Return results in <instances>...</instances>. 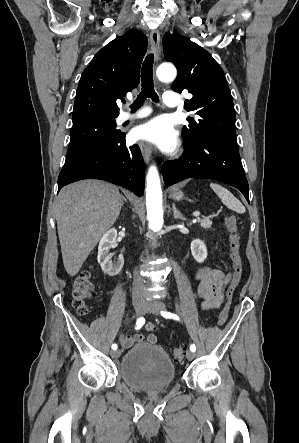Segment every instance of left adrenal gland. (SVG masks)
<instances>
[{"mask_svg":"<svg viewBox=\"0 0 299 443\" xmlns=\"http://www.w3.org/2000/svg\"><path fill=\"white\" fill-rule=\"evenodd\" d=\"M173 209V217L175 219L186 220L185 217L180 213V211L176 208L175 204L172 205Z\"/></svg>","mask_w":299,"mask_h":443,"instance_id":"obj_1","label":"left adrenal gland"}]
</instances>
